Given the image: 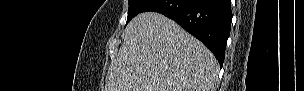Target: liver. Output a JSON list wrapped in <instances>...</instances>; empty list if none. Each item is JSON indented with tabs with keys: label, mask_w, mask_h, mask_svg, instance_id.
Here are the masks:
<instances>
[{
	"label": "liver",
	"mask_w": 304,
	"mask_h": 91,
	"mask_svg": "<svg viewBox=\"0 0 304 91\" xmlns=\"http://www.w3.org/2000/svg\"><path fill=\"white\" fill-rule=\"evenodd\" d=\"M218 72L204 44L162 14L145 12L126 27L105 91H210Z\"/></svg>",
	"instance_id": "6515ba94"
}]
</instances>
